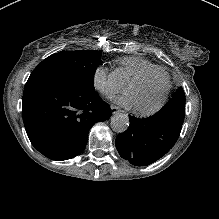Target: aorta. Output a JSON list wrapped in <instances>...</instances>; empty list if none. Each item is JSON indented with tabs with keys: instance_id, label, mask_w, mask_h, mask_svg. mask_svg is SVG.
I'll return each mask as SVG.
<instances>
[{
	"instance_id": "762f6f07",
	"label": "aorta",
	"mask_w": 219,
	"mask_h": 219,
	"mask_svg": "<svg viewBox=\"0 0 219 219\" xmlns=\"http://www.w3.org/2000/svg\"><path fill=\"white\" fill-rule=\"evenodd\" d=\"M130 124L129 116L125 113H118L111 119V128L115 132L125 131Z\"/></svg>"
}]
</instances>
